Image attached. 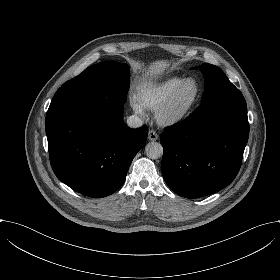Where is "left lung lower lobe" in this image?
Returning <instances> with one entry per match:
<instances>
[{
	"label": "left lung lower lobe",
	"instance_id": "obj_1",
	"mask_svg": "<svg viewBox=\"0 0 280 280\" xmlns=\"http://www.w3.org/2000/svg\"><path fill=\"white\" fill-rule=\"evenodd\" d=\"M248 135L247 105L239 90L202 103L160 136L165 182L185 198L221 190L240 169Z\"/></svg>",
	"mask_w": 280,
	"mask_h": 280
}]
</instances>
